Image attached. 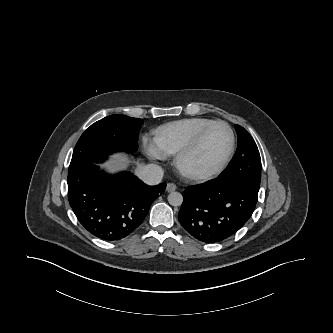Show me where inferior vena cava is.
Listing matches in <instances>:
<instances>
[{
    "label": "inferior vena cava",
    "instance_id": "obj_1",
    "mask_svg": "<svg viewBox=\"0 0 333 333\" xmlns=\"http://www.w3.org/2000/svg\"><path fill=\"white\" fill-rule=\"evenodd\" d=\"M139 179L148 185H157L163 178V169L156 164L140 166L136 170Z\"/></svg>",
    "mask_w": 333,
    "mask_h": 333
}]
</instances>
